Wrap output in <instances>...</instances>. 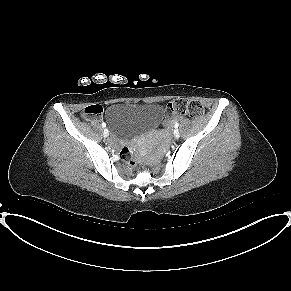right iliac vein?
Segmentation results:
<instances>
[{"label":"right iliac vein","instance_id":"obj_1","mask_svg":"<svg viewBox=\"0 0 291 291\" xmlns=\"http://www.w3.org/2000/svg\"><path fill=\"white\" fill-rule=\"evenodd\" d=\"M108 135H109L108 129H104L103 136L106 138L108 137Z\"/></svg>","mask_w":291,"mask_h":291}]
</instances>
